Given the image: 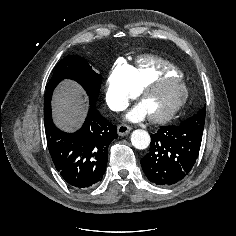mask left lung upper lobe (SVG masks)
<instances>
[{"instance_id":"5c2ea615","label":"left lung upper lobe","mask_w":236,"mask_h":236,"mask_svg":"<svg viewBox=\"0 0 236 236\" xmlns=\"http://www.w3.org/2000/svg\"><path fill=\"white\" fill-rule=\"evenodd\" d=\"M205 110L206 106H204L197 114L194 116L184 120L181 122V125H186L194 128H200L204 129V123H205Z\"/></svg>"}]
</instances>
